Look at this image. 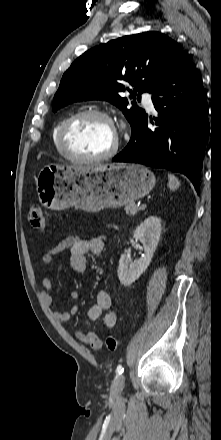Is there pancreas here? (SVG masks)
I'll return each instance as SVG.
<instances>
[{
    "mask_svg": "<svg viewBox=\"0 0 221 440\" xmlns=\"http://www.w3.org/2000/svg\"><path fill=\"white\" fill-rule=\"evenodd\" d=\"M141 208L138 207L135 203L131 202L125 206V212L127 215H135Z\"/></svg>",
    "mask_w": 221,
    "mask_h": 440,
    "instance_id": "cf45deb5",
    "label": "pancreas"
}]
</instances>
